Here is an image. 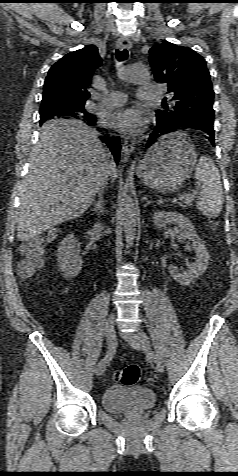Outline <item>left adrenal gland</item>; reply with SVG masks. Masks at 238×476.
Returning a JSON list of instances; mask_svg holds the SVG:
<instances>
[{"mask_svg": "<svg viewBox=\"0 0 238 476\" xmlns=\"http://www.w3.org/2000/svg\"><path fill=\"white\" fill-rule=\"evenodd\" d=\"M143 200L145 201L144 207H147L148 205H150V204H152V203L155 202V201L149 200V199L147 198V196H144V197H143ZM156 203H159V202H156Z\"/></svg>", "mask_w": 238, "mask_h": 476, "instance_id": "obj_1", "label": "left adrenal gland"}]
</instances>
